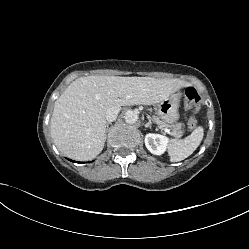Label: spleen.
Wrapping results in <instances>:
<instances>
[{"instance_id": "spleen-1", "label": "spleen", "mask_w": 249, "mask_h": 249, "mask_svg": "<svg viewBox=\"0 0 249 249\" xmlns=\"http://www.w3.org/2000/svg\"><path fill=\"white\" fill-rule=\"evenodd\" d=\"M203 135L204 130L199 126L185 139L172 140V143L169 145L170 161L178 162L189 157L200 145Z\"/></svg>"}]
</instances>
